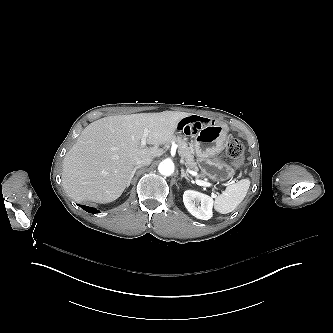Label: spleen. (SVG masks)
I'll return each mask as SVG.
<instances>
[{"label": "spleen", "instance_id": "1", "mask_svg": "<svg viewBox=\"0 0 333 333\" xmlns=\"http://www.w3.org/2000/svg\"><path fill=\"white\" fill-rule=\"evenodd\" d=\"M249 187V179H242L237 183L228 185L226 189L215 198L214 209L221 214L232 212L244 200Z\"/></svg>", "mask_w": 333, "mask_h": 333}]
</instances>
